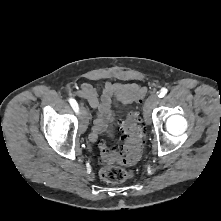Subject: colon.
Returning <instances> with one entry per match:
<instances>
[{"label": "colon", "mask_w": 221, "mask_h": 221, "mask_svg": "<svg viewBox=\"0 0 221 221\" xmlns=\"http://www.w3.org/2000/svg\"><path fill=\"white\" fill-rule=\"evenodd\" d=\"M121 133V144L117 150L108 149L103 142L99 143L103 163L100 177L105 182L111 184L127 180L131 176V173L121 165H132L140 158L143 144V130L136 113H132L123 122Z\"/></svg>", "instance_id": "colon-1"}]
</instances>
